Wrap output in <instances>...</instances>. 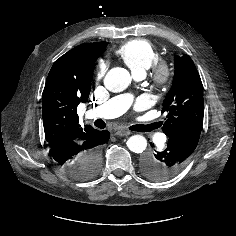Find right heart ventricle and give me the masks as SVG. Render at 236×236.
Returning <instances> with one entry per match:
<instances>
[{
    "label": "right heart ventricle",
    "mask_w": 236,
    "mask_h": 236,
    "mask_svg": "<svg viewBox=\"0 0 236 236\" xmlns=\"http://www.w3.org/2000/svg\"><path fill=\"white\" fill-rule=\"evenodd\" d=\"M115 54L132 70L134 75L145 74L160 59L157 47L143 38L123 43L115 50Z\"/></svg>",
    "instance_id": "1"
}]
</instances>
